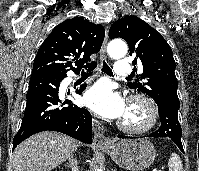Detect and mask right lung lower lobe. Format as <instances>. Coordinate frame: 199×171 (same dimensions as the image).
Returning a JSON list of instances; mask_svg holds the SVG:
<instances>
[{
  "label": "right lung lower lobe",
  "mask_w": 199,
  "mask_h": 171,
  "mask_svg": "<svg viewBox=\"0 0 199 171\" xmlns=\"http://www.w3.org/2000/svg\"><path fill=\"white\" fill-rule=\"evenodd\" d=\"M95 67L96 64L91 66ZM65 77L53 73L31 76L25 114L20 130L13 139L14 148L31 135L46 130L62 132L84 143H92L91 114L70 100L59 99V86ZM85 88L86 85L76 92L81 94Z\"/></svg>",
  "instance_id": "right-lung-lower-lobe-1"
}]
</instances>
